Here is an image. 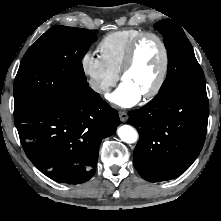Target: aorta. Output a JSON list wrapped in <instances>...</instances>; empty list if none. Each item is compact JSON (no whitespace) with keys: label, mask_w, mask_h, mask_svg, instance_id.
Returning <instances> with one entry per match:
<instances>
[{"label":"aorta","mask_w":221,"mask_h":221,"mask_svg":"<svg viewBox=\"0 0 221 221\" xmlns=\"http://www.w3.org/2000/svg\"><path fill=\"white\" fill-rule=\"evenodd\" d=\"M117 134L119 138L126 143H134L138 139V133L130 125H121L117 129Z\"/></svg>","instance_id":"obj_1"}]
</instances>
